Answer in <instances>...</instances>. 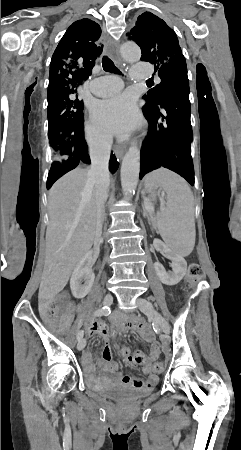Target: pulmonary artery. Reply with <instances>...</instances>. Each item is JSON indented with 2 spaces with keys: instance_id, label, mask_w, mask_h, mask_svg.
<instances>
[{
  "instance_id": "obj_1",
  "label": "pulmonary artery",
  "mask_w": 241,
  "mask_h": 450,
  "mask_svg": "<svg viewBox=\"0 0 241 450\" xmlns=\"http://www.w3.org/2000/svg\"><path fill=\"white\" fill-rule=\"evenodd\" d=\"M149 64H134L132 66V77L146 80L148 84H155L157 77L152 71H149ZM123 85L121 78H115L108 74H101L99 78H92L90 80V91L95 93L98 97H108L113 92H119L120 87Z\"/></svg>"
}]
</instances>
